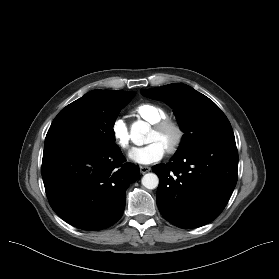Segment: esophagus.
Masks as SVG:
<instances>
[{
  "mask_svg": "<svg viewBox=\"0 0 279 279\" xmlns=\"http://www.w3.org/2000/svg\"><path fill=\"white\" fill-rule=\"evenodd\" d=\"M150 170H151V168L148 166H140V172L142 174H145V173L149 172Z\"/></svg>",
  "mask_w": 279,
  "mask_h": 279,
  "instance_id": "1",
  "label": "esophagus"
}]
</instances>
